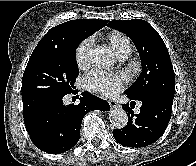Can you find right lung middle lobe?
Instances as JSON below:
<instances>
[{
  "label": "right lung middle lobe",
  "mask_w": 196,
  "mask_h": 166,
  "mask_svg": "<svg viewBox=\"0 0 196 166\" xmlns=\"http://www.w3.org/2000/svg\"><path fill=\"white\" fill-rule=\"evenodd\" d=\"M84 40L75 33L62 46L37 45L22 78V97L31 94L65 96L73 91L79 74L76 49Z\"/></svg>",
  "instance_id": "dd1d6c3e"
}]
</instances>
